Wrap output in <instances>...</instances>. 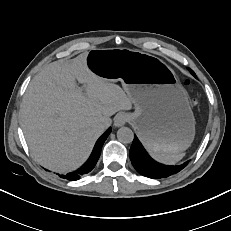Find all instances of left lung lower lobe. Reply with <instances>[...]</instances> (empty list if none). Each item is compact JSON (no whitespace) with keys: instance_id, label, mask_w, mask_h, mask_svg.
<instances>
[{"instance_id":"obj_1","label":"left lung lower lobe","mask_w":231,"mask_h":231,"mask_svg":"<svg viewBox=\"0 0 231 231\" xmlns=\"http://www.w3.org/2000/svg\"><path fill=\"white\" fill-rule=\"evenodd\" d=\"M130 159L136 171L149 178H166L181 171L189 161L181 165L168 166L154 161L145 151L138 138L135 136L130 148Z\"/></svg>"}]
</instances>
